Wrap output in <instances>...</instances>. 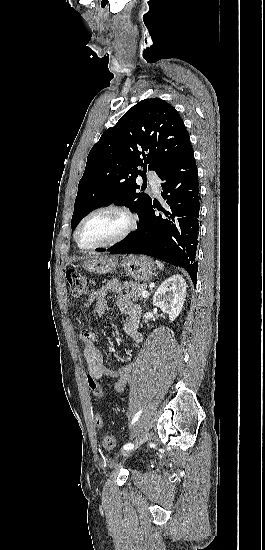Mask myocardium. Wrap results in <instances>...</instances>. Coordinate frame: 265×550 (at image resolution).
<instances>
[{
    "label": "myocardium",
    "instance_id": "f54148a6",
    "mask_svg": "<svg viewBox=\"0 0 265 550\" xmlns=\"http://www.w3.org/2000/svg\"><path fill=\"white\" fill-rule=\"evenodd\" d=\"M102 211H114V212L119 213L122 216H124L125 219H126V226H125L124 230L117 237H115L114 239H112L108 242L97 244V245L90 246V247L82 246L79 242V239H78V234H79V231H80L82 225L84 224V222L88 218H90L94 214L102 212ZM137 224H138V218L130 209H128L126 207H123V206H120V205H116V204L102 205V206H99V207H96V208L92 209L85 216L82 217V219L79 221V223L77 224V226L75 228L73 238H74V241H75L76 245L78 246V248L83 250V251H94V250H97V249L108 248V247L114 246V245L122 242L123 240H125L136 229Z\"/></svg>",
    "mask_w": 265,
    "mask_h": 550
}]
</instances>
